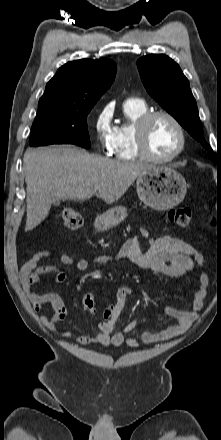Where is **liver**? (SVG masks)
I'll use <instances>...</instances> for the list:
<instances>
[{"mask_svg":"<svg viewBox=\"0 0 221 440\" xmlns=\"http://www.w3.org/2000/svg\"><path fill=\"white\" fill-rule=\"evenodd\" d=\"M153 165L111 160L72 146L28 149L23 158L27 192L25 231L38 226L60 199L88 200L96 196L107 204L119 200L130 185Z\"/></svg>","mask_w":221,"mask_h":440,"instance_id":"obj_1","label":"liver"}]
</instances>
